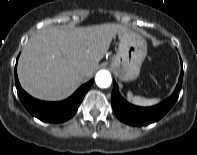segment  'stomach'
Instances as JSON below:
<instances>
[{
	"instance_id": "obj_1",
	"label": "stomach",
	"mask_w": 197,
	"mask_h": 155,
	"mask_svg": "<svg viewBox=\"0 0 197 155\" xmlns=\"http://www.w3.org/2000/svg\"><path fill=\"white\" fill-rule=\"evenodd\" d=\"M119 41L111 68L121 81L135 80L147 55V43L143 37L131 31L120 32Z\"/></svg>"
}]
</instances>
